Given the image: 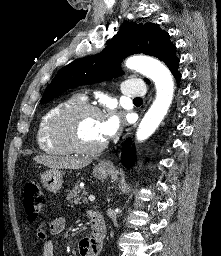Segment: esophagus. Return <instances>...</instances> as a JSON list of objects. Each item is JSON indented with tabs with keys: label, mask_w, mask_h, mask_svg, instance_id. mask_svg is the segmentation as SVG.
I'll use <instances>...</instances> for the list:
<instances>
[{
	"label": "esophagus",
	"mask_w": 221,
	"mask_h": 256,
	"mask_svg": "<svg viewBox=\"0 0 221 256\" xmlns=\"http://www.w3.org/2000/svg\"><path fill=\"white\" fill-rule=\"evenodd\" d=\"M127 136H128V134H127ZM102 166L112 168L113 167V163L110 162V161L104 162V163H102Z\"/></svg>",
	"instance_id": "34e87169"
}]
</instances>
